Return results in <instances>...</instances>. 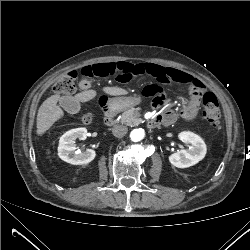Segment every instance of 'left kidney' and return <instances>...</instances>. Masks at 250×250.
<instances>
[{
    "label": "left kidney",
    "mask_w": 250,
    "mask_h": 250,
    "mask_svg": "<svg viewBox=\"0 0 250 250\" xmlns=\"http://www.w3.org/2000/svg\"><path fill=\"white\" fill-rule=\"evenodd\" d=\"M179 140L190 143L188 150L182 149L169 156L170 163L177 168H188L199 161L206 155V144L203 139L197 134L190 131L180 132Z\"/></svg>",
    "instance_id": "1"
}]
</instances>
